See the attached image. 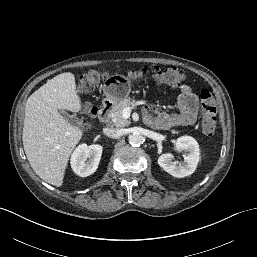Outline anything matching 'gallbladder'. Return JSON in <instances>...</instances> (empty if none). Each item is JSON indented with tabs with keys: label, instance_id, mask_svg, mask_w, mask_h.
Returning a JSON list of instances; mask_svg holds the SVG:
<instances>
[{
	"label": "gallbladder",
	"instance_id": "gallbladder-1",
	"mask_svg": "<svg viewBox=\"0 0 257 257\" xmlns=\"http://www.w3.org/2000/svg\"><path fill=\"white\" fill-rule=\"evenodd\" d=\"M60 115L70 124L75 125L76 124V120L74 119L73 116H71L67 111L65 110H59Z\"/></svg>",
	"mask_w": 257,
	"mask_h": 257
}]
</instances>
